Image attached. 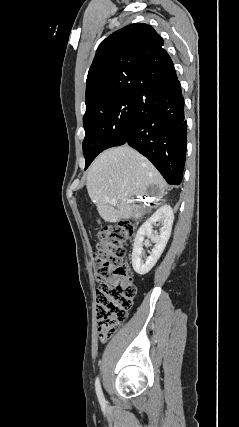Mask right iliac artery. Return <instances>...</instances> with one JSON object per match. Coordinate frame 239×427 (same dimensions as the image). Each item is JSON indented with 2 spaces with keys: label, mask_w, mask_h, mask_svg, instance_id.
<instances>
[{
  "label": "right iliac artery",
  "mask_w": 239,
  "mask_h": 427,
  "mask_svg": "<svg viewBox=\"0 0 239 427\" xmlns=\"http://www.w3.org/2000/svg\"><path fill=\"white\" fill-rule=\"evenodd\" d=\"M95 388H96V393H97V397L99 399V402L102 406H104L105 405V398H104V395H103V392L101 389L99 378L96 379Z\"/></svg>",
  "instance_id": "obj_1"
}]
</instances>
